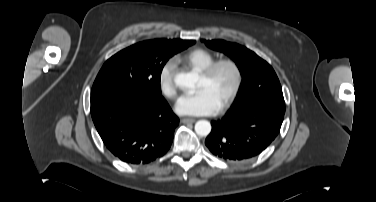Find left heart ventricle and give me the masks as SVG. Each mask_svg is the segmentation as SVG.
<instances>
[{"mask_svg":"<svg viewBox=\"0 0 376 202\" xmlns=\"http://www.w3.org/2000/svg\"><path fill=\"white\" fill-rule=\"evenodd\" d=\"M234 83V74L229 67H221L216 74L207 80L200 76L199 89L208 88L211 90L219 104L221 105L229 94Z\"/></svg>","mask_w":376,"mask_h":202,"instance_id":"left-heart-ventricle-1","label":"left heart ventricle"}]
</instances>
